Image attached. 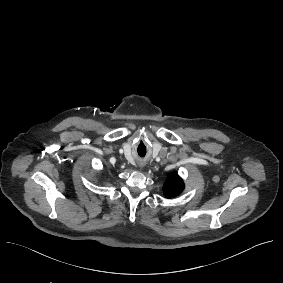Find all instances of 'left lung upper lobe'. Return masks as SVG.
<instances>
[{
	"instance_id": "1",
	"label": "left lung upper lobe",
	"mask_w": 283,
	"mask_h": 283,
	"mask_svg": "<svg viewBox=\"0 0 283 283\" xmlns=\"http://www.w3.org/2000/svg\"><path fill=\"white\" fill-rule=\"evenodd\" d=\"M184 190L182 179L176 174L171 173L163 186V192L167 198H173L179 195Z\"/></svg>"
}]
</instances>
